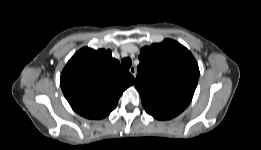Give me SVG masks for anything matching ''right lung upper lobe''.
I'll return each instance as SVG.
<instances>
[{
    "mask_svg": "<svg viewBox=\"0 0 261 150\" xmlns=\"http://www.w3.org/2000/svg\"><path fill=\"white\" fill-rule=\"evenodd\" d=\"M134 77L111 56L110 50L82 48L61 74V88L69 104L88 119H102L116 106Z\"/></svg>",
    "mask_w": 261,
    "mask_h": 150,
    "instance_id": "1",
    "label": "right lung upper lobe"
}]
</instances>
